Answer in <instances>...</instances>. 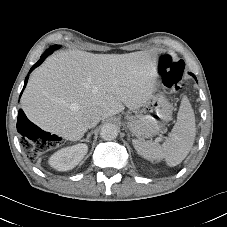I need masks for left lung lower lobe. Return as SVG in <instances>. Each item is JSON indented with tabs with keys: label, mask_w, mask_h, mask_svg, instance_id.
Listing matches in <instances>:
<instances>
[{
	"label": "left lung lower lobe",
	"mask_w": 227,
	"mask_h": 227,
	"mask_svg": "<svg viewBox=\"0 0 227 227\" xmlns=\"http://www.w3.org/2000/svg\"><path fill=\"white\" fill-rule=\"evenodd\" d=\"M191 75L196 79V77L194 76V74L191 73Z\"/></svg>",
	"instance_id": "left-lung-lower-lobe-1"
}]
</instances>
